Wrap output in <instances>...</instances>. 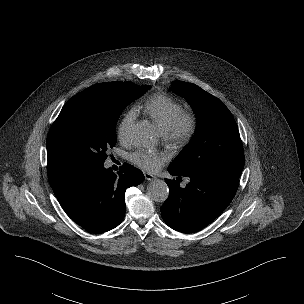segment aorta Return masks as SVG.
<instances>
[{
	"instance_id": "762f6f07",
	"label": "aorta",
	"mask_w": 304,
	"mask_h": 304,
	"mask_svg": "<svg viewBox=\"0 0 304 304\" xmlns=\"http://www.w3.org/2000/svg\"><path fill=\"white\" fill-rule=\"evenodd\" d=\"M132 142L135 146L146 147L152 142L151 127L147 123H139L132 132ZM148 195L155 202H164L169 196V188L165 181L152 180L148 187Z\"/></svg>"
}]
</instances>
